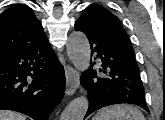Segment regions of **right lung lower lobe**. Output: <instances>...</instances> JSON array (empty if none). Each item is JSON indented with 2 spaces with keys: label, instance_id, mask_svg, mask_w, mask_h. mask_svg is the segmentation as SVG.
Wrapping results in <instances>:
<instances>
[{
  "label": "right lung lower lobe",
  "instance_id": "obj_1",
  "mask_svg": "<svg viewBox=\"0 0 165 120\" xmlns=\"http://www.w3.org/2000/svg\"><path fill=\"white\" fill-rule=\"evenodd\" d=\"M64 92V69L47 38L0 54V110L48 120Z\"/></svg>",
  "mask_w": 165,
  "mask_h": 120
}]
</instances>
